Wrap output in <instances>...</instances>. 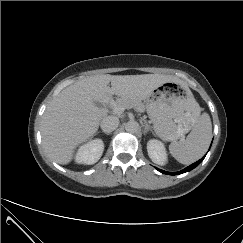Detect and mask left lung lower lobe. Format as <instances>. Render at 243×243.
Masks as SVG:
<instances>
[{"label": "left lung lower lobe", "mask_w": 243, "mask_h": 243, "mask_svg": "<svg viewBox=\"0 0 243 243\" xmlns=\"http://www.w3.org/2000/svg\"><path fill=\"white\" fill-rule=\"evenodd\" d=\"M204 158H205V156L203 158H201L200 160H198L197 162L191 164L190 166L186 167L185 169H183V170H181L179 172H166V171L161 170V169H157V170L160 171L163 174H169V175L182 174V173L188 172V171L194 169L195 167H197Z\"/></svg>", "instance_id": "1"}]
</instances>
